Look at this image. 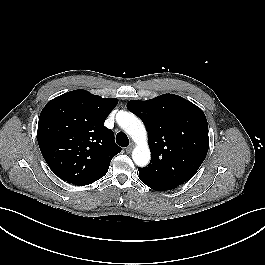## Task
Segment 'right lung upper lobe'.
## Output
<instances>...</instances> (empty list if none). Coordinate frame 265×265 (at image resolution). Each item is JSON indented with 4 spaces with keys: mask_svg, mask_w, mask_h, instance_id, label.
I'll use <instances>...</instances> for the list:
<instances>
[{
    "mask_svg": "<svg viewBox=\"0 0 265 265\" xmlns=\"http://www.w3.org/2000/svg\"><path fill=\"white\" fill-rule=\"evenodd\" d=\"M117 103L116 98L74 90L46 104L39 117L38 144L59 178L88 185L108 172L111 159L121 148L103 123Z\"/></svg>",
    "mask_w": 265,
    "mask_h": 265,
    "instance_id": "obj_1",
    "label": "right lung upper lobe"
}]
</instances>
